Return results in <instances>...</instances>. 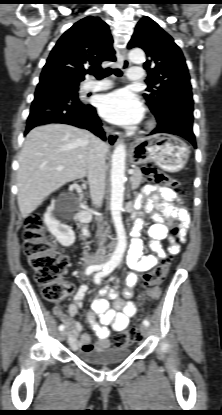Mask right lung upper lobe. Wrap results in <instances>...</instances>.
<instances>
[{"label": "right lung upper lobe", "mask_w": 222, "mask_h": 415, "mask_svg": "<svg viewBox=\"0 0 222 415\" xmlns=\"http://www.w3.org/2000/svg\"><path fill=\"white\" fill-rule=\"evenodd\" d=\"M112 43L105 22L99 17H85L60 37L41 75L52 73L79 84L85 73L101 69L103 61L116 60Z\"/></svg>", "instance_id": "1"}]
</instances>
